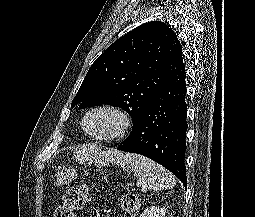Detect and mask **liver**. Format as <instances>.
Listing matches in <instances>:
<instances>
[{
  "label": "liver",
  "mask_w": 255,
  "mask_h": 217,
  "mask_svg": "<svg viewBox=\"0 0 255 217\" xmlns=\"http://www.w3.org/2000/svg\"><path fill=\"white\" fill-rule=\"evenodd\" d=\"M114 150L103 149L97 145H83L79 146L74 151V157L78 160L85 161L94 158L112 159L113 156H118Z\"/></svg>",
  "instance_id": "1"
}]
</instances>
